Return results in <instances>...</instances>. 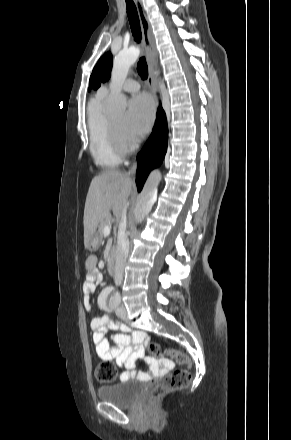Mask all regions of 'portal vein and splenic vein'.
Listing matches in <instances>:
<instances>
[{
	"label": "portal vein and splenic vein",
	"instance_id": "18ae733b",
	"mask_svg": "<svg viewBox=\"0 0 291 440\" xmlns=\"http://www.w3.org/2000/svg\"><path fill=\"white\" fill-rule=\"evenodd\" d=\"M111 233V227L109 225H106L104 227V235H110Z\"/></svg>",
	"mask_w": 291,
	"mask_h": 440
}]
</instances>
